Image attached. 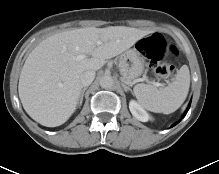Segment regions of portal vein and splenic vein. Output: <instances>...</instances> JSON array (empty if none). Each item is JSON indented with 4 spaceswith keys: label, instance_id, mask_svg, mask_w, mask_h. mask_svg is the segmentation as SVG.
<instances>
[{
    "label": "portal vein and splenic vein",
    "instance_id": "18ae733b",
    "mask_svg": "<svg viewBox=\"0 0 219 174\" xmlns=\"http://www.w3.org/2000/svg\"><path fill=\"white\" fill-rule=\"evenodd\" d=\"M101 43H102L101 41H98V42H97L98 45H100ZM86 57H87L86 55L82 54V55H80L78 58H79V59H84V58H86ZM154 84H155L156 86H160V85H161L160 83H157V82H155Z\"/></svg>",
    "mask_w": 219,
    "mask_h": 174
}]
</instances>
